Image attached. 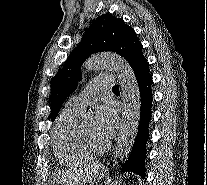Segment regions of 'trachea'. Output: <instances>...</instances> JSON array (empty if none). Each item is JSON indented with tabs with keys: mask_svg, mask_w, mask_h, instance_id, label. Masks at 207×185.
<instances>
[{
	"mask_svg": "<svg viewBox=\"0 0 207 185\" xmlns=\"http://www.w3.org/2000/svg\"><path fill=\"white\" fill-rule=\"evenodd\" d=\"M112 90H119V86L118 85H114V87L112 88Z\"/></svg>",
	"mask_w": 207,
	"mask_h": 185,
	"instance_id": "1",
	"label": "trachea"
}]
</instances>
